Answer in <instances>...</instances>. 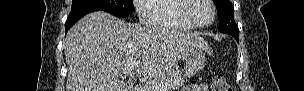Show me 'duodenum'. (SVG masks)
Returning a JSON list of instances; mask_svg holds the SVG:
<instances>
[{"label": "duodenum", "mask_w": 304, "mask_h": 91, "mask_svg": "<svg viewBox=\"0 0 304 91\" xmlns=\"http://www.w3.org/2000/svg\"><path fill=\"white\" fill-rule=\"evenodd\" d=\"M132 91H143V89L140 86H136L132 88Z\"/></svg>", "instance_id": "duodenum-1"}]
</instances>
